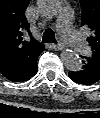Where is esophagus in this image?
Listing matches in <instances>:
<instances>
[{
  "instance_id": "34e87169",
  "label": "esophagus",
  "mask_w": 100,
  "mask_h": 118,
  "mask_svg": "<svg viewBox=\"0 0 100 118\" xmlns=\"http://www.w3.org/2000/svg\"><path fill=\"white\" fill-rule=\"evenodd\" d=\"M51 47L54 49V50H61L64 48L63 45L61 44H51Z\"/></svg>"
}]
</instances>
